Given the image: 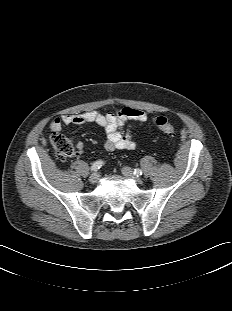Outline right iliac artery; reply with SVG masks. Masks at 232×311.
<instances>
[{
    "instance_id": "82829eb1",
    "label": "right iliac artery",
    "mask_w": 232,
    "mask_h": 311,
    "mask_svg": "<svg viewBox=\"0 0 232 311\" xmlns=\"http://www.w3.org/2000/svg\"><path fill=\"white\" fill-rule=\"evenodd\" d=\"M103 165V161L99 160L93 163V165L91 166V170L92 171H97L98 169H100Z\"/></svg>"
}]
</instances>
